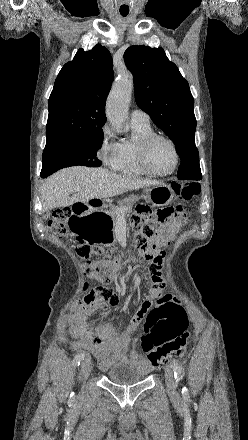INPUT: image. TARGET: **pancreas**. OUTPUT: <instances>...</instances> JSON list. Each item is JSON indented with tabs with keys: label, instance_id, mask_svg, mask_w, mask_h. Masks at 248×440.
Listing matches in <instances>:
<instances>
[{
	"label": "pancreas",
	"instance_id": "obj_1",
	"mask_svg": "<svg viewBox=\"0 0 248 440\" xmlns=\"http://www.w3.org/2000/svg\"><path fill=\"white\" fill-rule=\"evenodd\" d=\"M136 201H138V197L135 195H130L128 198L123 200L120 206L112 207L108 214L113 218L114 221H117L120 215H126L132 210Z\"/></svg>",
	"mask_w": 248,
	"mask_h": 440
}]
</instances>
